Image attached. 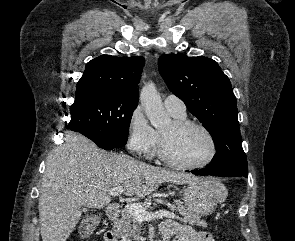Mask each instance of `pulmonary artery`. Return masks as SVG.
Masks as SVG:
<instances>
[{"label":"pulmonary artery","instance_id":"1","mask_svg":"<svg viewBox=\"0 0 295 241\" xmlns=\"http://www.w3.org/2000/svg\"><path fill=\"white\" fill-rule=\"evenodd\" d=\"M165 108L174 114L184 115L186 114V106L184 102L175 95H168L164 99Z\"/></svg>","mask_w":295,"mask_h":241}]
</instances>
